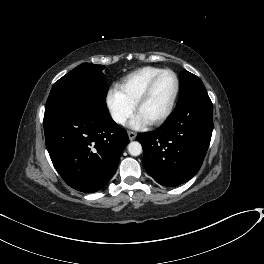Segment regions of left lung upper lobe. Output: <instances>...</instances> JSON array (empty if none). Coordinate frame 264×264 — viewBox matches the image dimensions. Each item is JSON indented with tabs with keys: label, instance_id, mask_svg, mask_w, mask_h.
<instances>
[{
	"label": "left lung upper lobe",
	"instance_id": "obj_1",
	"mask_svg": "<svg viewBox=\"0 0 264 264\" xmlns=\"http://www.w3.org/2000/svg\"><path fill=\"white\" fill-rule=\"evenodd\" d=\"M206 93V88L199 77L188 72L187 70L181 72L180 95L177 104L190 96Z\"/></svg>",
	"mask_w": 264,
	"mask_h": 264
}]
</instances>
